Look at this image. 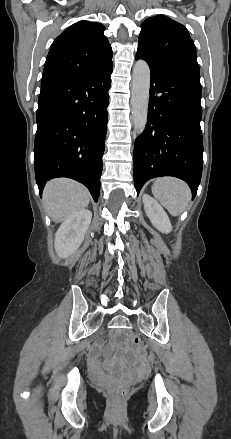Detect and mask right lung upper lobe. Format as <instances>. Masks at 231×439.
I'll use <instances>...</instances> for the list:
<instances>
[{
  "instance_id": "1",
  "label": "right lung upper lobe",
  "mask_w": 231,
  "mask_h": 439,
  "mask_svg": "<svg viewBox=\"0 0 231 439\" xmlns=\"http://www.w3.org/2000/svg\"><path fill=\"white\" fill-rule=\"evenodd\" d=\"M100 23L79 21L63 31L47 56L41 87L87 77L112 62V49Z\"/></svg>"
}]
</instances>
